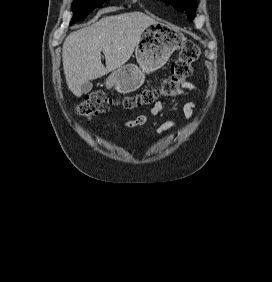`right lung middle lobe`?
Wrapping results in <instances>:
<instances>
[{
	"mask_svg": "<svg viewBox=\"0 0 272 282\" xmlns=\"http://www.w3.org/2000/svg\"><path fill=\"white\" fill-rule=\"evenodd\" d=\"M106 0H74L72 10L74 16L70 24L82 20L85 16L91 13L96 7H102Z\"/></svg>",
	"mask_w": 272,
	"mask_h": 282,
	"instance_id": "1",
	"label": "right lung middle lobe"
}]
</instances>
